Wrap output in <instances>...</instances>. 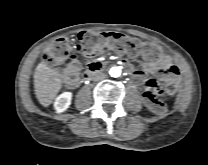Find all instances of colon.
Returning a JSON list of instances; mask_svg holds the SVG:
<instances>
[{
	"label": "colon",
	"mask_w": 208,
	"mask_h": 165,
	"mask_svg": "<svg viewBox=\"0 0 208 165\" xmlns=\"http://www.w3.org/2000/svg\"><path fill=\"white\" fill-rule=\"evenodd\" d=\"M107 46L113 47L117 52L129 56L147 54L157 56L161 49L159 46L140 41L137 38L116 32L84 31L78 37V43L70 46L65 39H57L52 42L43 53V61L51 66L59 65L66 59H76L79 55L93 56L101 52ZM175 91V85L168 83L165 88H158L157 95H171ZM151 108L155 112H162L164 104L155 97L149 100Z\"/></svg>",
	"instance_id": "colon-1"
}]
</instances>
